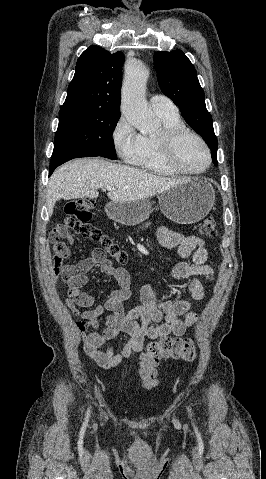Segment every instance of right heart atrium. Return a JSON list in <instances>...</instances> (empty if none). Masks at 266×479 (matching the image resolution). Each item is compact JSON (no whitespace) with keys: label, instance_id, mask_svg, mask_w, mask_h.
<instances>
[{"label":"right heart atrium","instance_id":"1","mask_svg":"<svg viewBox=\"0 0 266 479\" xmlns=\"http://www.w3.org/2000/svg\"><path fill=\"white\" fill-rule=\"evenodd\" d=\"M112 142L118 155L133 163L140 152V135L125 116H121L112 130Z\"/></svg>","mask_w":266,"mask_h":479}]
</instances>
